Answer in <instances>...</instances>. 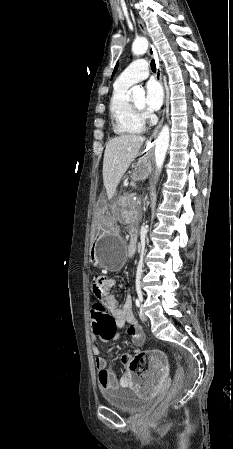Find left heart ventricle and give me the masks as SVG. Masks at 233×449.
I'll list each match as a JSON object with an SVG mask.
<instances>
[{"label":"left heart ventricle","mask_w":233,"mask_h":449,"mask_svg":"<svg viewBox=\"0 0 233 449\" xmlns=\"http://www.w3.org/2000/svg\"><path fill=\"white\" fill-rule=\"evenodd\" d=\"M133 103L135 105H137L138 107H140V108H144V106H145V98L144 97L137 98V99H135L133 101Z\"/></svg>","instance_id":"left-heart-ventricle-1"}]
</instances>
